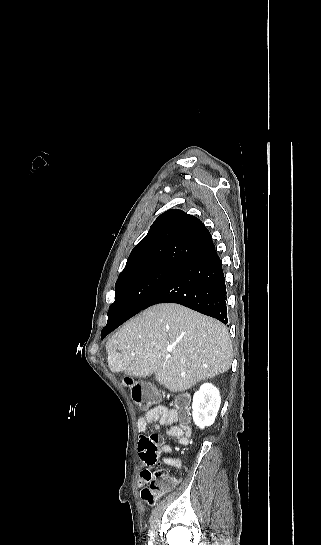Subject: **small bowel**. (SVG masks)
I'll use <instances>...</instances> for the list:
<instances>
[{
  "mask_svg": "<svg viewBox=\"0 0 321 545\" xmlns=\"http://www.w3.org/2000/svg\"><path fill=\"white\" fill-rule=\"evenodd\" d=\"M177 421L178 417L174 410L159 406L151 409L145 415L141 416L138 419L137 428L140 433H143L149 427H153L155 429L167 427L164 429V432L168 437L176 438L180 444H187L191 435L190 428L186 424L171 426ZM160 451L161 453L169 454L171 452V446L164 442L160 445ZM141 459L145 465V469L142 470L137 481V485L140 488L144 487L149 482L150 477L153 475L150 468L157 464V458L154 460H148L142 455ZM162 461L164 464L174 466L176 468H180L182 466V461L180 459L164 457L162 458ZM174 478L178 483V478Z\"/></svg>",
  "mask_w": 321,
  "mask_h": 545,
  "instance_id": "small-bowel-1",
  "label": "small bowel"
}]
</instances>
